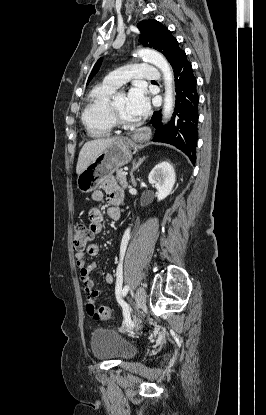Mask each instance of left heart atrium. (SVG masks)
Segmentation results:
<instances>
[{"label":"left heart atrium","mask_w":266,"mask_h":415,"mask_svg":"<svg viewBox=\"0 0 266 415\" xmlns=\"http://www.w3.org/2000/svg\"><path fill=\"white\" fill-rule=\"evenodd\" d=\"M129 111L136 117L145 115L149 110V100L142 85H135L127 95Z\"/></svg>","instance_id":"1"}]
</instances>
